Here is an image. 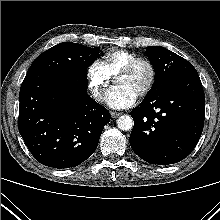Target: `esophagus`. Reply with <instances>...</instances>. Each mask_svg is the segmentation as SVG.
Masks as SVG:
<instances>
[{"mask_svg":"<svg viewBox=\"0 0 220 220\" xmlns=\"http://www.w3.org/2000/svg\"><path fill=\"white\" fill-rule=\"evenodd\" d=\"M120 115H121V113H119V112L111 111V117H112V118H117V117H119Z\"/></svg>","mask_w":220,"mask_h":220,"instance_id":"obj_1","label":"esophagus"}]
</instances>
